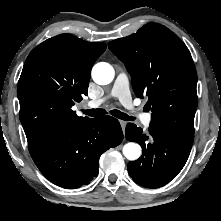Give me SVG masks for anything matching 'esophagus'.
Listing matches in <instances>:
<instances>
[{"label":"esophagus","instance_id":"1","mask_svg":"<svg viewBox=\"0 0 221 221\" xmlns=\"http://www.w3.org/2000/svg\"><path fill=\"white\" fill-rule=\"evenodd\" d=\"M120 124H121L122 129L124 130L125 127H126L127 122L123 121V120H120Z\"/></svg>","mask_w":221,"mask_h":221}]
</instances>
